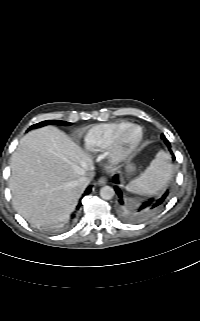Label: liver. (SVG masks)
I'll use <instances>...</instances> for the list:
<instances>
[{
    "mask_svg": "<svg viewBox=\"0 0 200 321\" xmlns=\"http://www.w3.org/2000/svg\"><path fill=\"white\" fill-rule=\"evenodd\" d=\"M92 157L54 126L21 138L11 157L9 187L17 212L33 226L63 221L83 189L76 181L94 176Z\"/></svg>",
    "mask_w": 200,
    "mask_h": 321,
    "instance_id": "obj_1",
    "label": "liver"
}]
</instances>
